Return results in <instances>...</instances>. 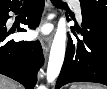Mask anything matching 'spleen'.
<instances>
[{"instance_id": "obj_1", "label": "spleen", "mask_w": 107, "mask_h": 89, "mask_svg": "<svg viewBox=\"0 0 107 89\" xmlns=\"http://www.w3.org/2000/svg\"><path fill=\"white\" fill-rule=\"evenodd\" d=\"M70 89H104V87L99 85H81V84H73L71 85Z\"/></svg>"}]
</instances>
